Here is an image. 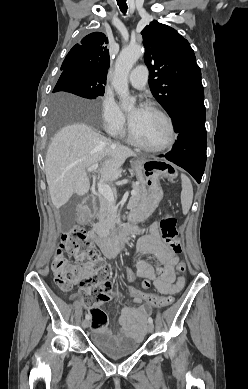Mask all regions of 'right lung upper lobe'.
I'll return each mask as SVG.
<instances>
[{
  "mask_svg": "<svg viewBox=\"0 0 248 389\" xmlns=\"http://www.w3.org/2000/svg\"><path fill=\"white\" fill-rule=\"evenodd\" d=\"M106 44L108 38L103 33L95 32L87 35L69 51L61 70L78 69L106 79L110 63Z\"/></svg>",
  "mask_w": 248,
  "mask_h": 389,
  "instance_id": "obj_1",
  "label": "right lung upper lobe"
}]
</instances>
